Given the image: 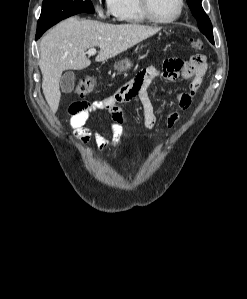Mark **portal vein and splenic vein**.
Wrapping results in <instances>:
<instances>
[{"label": "portal vein and splenic vein", "instance_id": "18ae733b", "mask_svg": "<svg viewBox=\"0 0 247 299\" xmlns=\"http://www.w3.org/2000/svg\"><path fill=\"white\" fill-rule=\"evenodd\" d=\"M90 55H94L96 53V49L95 48H90L87 52Z\"/></svg>", "mask_w": 247, "mask_h": 299}]
</instances>
